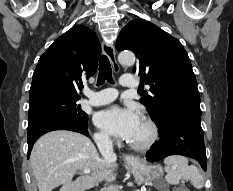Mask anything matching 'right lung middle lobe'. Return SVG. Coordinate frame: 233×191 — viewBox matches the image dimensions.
Returning a JSON list of instances; mask_svg holds the SVG:
<instances>
[{
  "mask_svg": "<svg viewBox=\"0 0 233 191\" xmlns=\"http://www.w3.org/2000/svg\"><path fill=\"white\" fill-rule=\"evenodd\" d=\"M79 99L58 93H44L31 98L29 101V122L42 114H52L87 124L88 116L77 104Z\"/></svg>",
  "mask_w": 233,
  "mask_h": 191,
  "instance_id": "1",
  "label": "right lung middle lobe"
}]
</instances>
